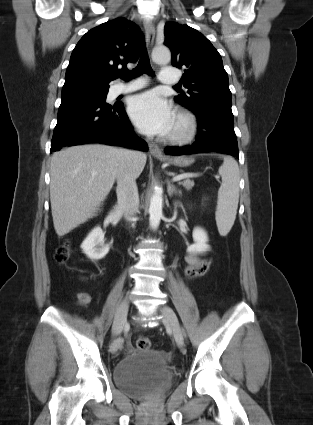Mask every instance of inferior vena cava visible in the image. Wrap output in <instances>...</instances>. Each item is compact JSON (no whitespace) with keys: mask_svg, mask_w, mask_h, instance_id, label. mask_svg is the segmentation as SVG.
<instances>
[{"mask_svg":"<svg viewBox=\"0 0 313 425\" xmlns=\"http://www.w3.org/2000/svg\"><path fill=\"white\" fill-rule=\"evenodd\" d=\"M123 162L117 175V200L118 207L125 217L132 218L138 211L139 196L131 165L138 157V152L124 150L122 152Z\"/></svg>","mask_w":313,"mask_h":425,"instance_id":"inferior-vena-cava-1","label":"inferior vena cava"}]
</instances>
